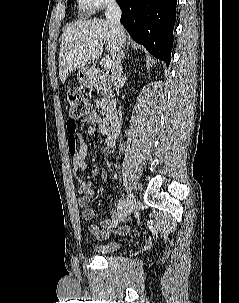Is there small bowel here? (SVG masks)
<instances>
[{"label":"small bowel","instance_id":"obj_1","mask_svg":"<svg viewBox=\"0 0 239 303\" xmlns=\"http://www.w3.org/2000/svg\"><path fill=\"white\" fill-rule=\"evenodd\" d=\"M85 122L90 123V126L87 130L89 136L94 137L97 134L105 136L106 146L103 149L105 154L111 152L112 147L115 144V140L110 137L102 127V121L99 115L95 111H91L84 119ZM68 131V151L71 156V163L73 171L78 182V205L83 209L82 218L85 221H90L95 215V210L92 208H87V205L94 197V186L92 182L85 181L77 176V173L86 169V145L85 141L78 131V124L75 122V130L71 132L67 127ZM106 178V171L102 170L99 179L104 180ZM111 223V218H106L100 222V225L88 222L86 225L87 231L99 238H105L108 236V228ZM128 232L127 227H121L119 229L120 234H125Z\"/></svg>","mask_w":239,"mask_h":303}]
</instances>
